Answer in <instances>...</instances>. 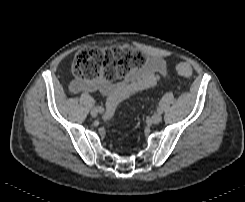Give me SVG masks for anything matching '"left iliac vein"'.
Returning a JSON list of instances; mask_svg holds the SVG:
<instances>
[{
	"instance_id": "1",
	"label": "left iliac vein",
	"mask_w": 245,
	"mask_h": 202,
	"mask_svg": "<svg viewBox=\"0 0 245 202\" xmlns=\"http://www.w3.org/2000/svg\"><path fill=\"white\" fill-rule=\"evenodd\" d=\"M161 120H162V116L160 113H155L151 118L153 124H158L159 122H161Z\"/></svg>"
}]
</instances>
